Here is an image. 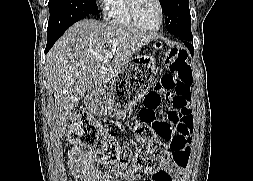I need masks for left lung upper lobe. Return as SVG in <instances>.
Masks as SVG:
<instances>
[{
    "mask_svg": "<svg viewBox=\"0 0 253 181\" xmlns=\"http://www.w3.org/2000/svg\"><path fill=\"white\" fill-rule=\"evenodd\" d=\"M160 4L166 16V29L175 36L192 40L188 0H160Z\"/></svg>",
    "mask_w": 253,
    "mask_h": 181,
    "instance_id": "left-lung-upper-lobe-1",
    "label": "left lung upper lobe"
}]
</instances>
